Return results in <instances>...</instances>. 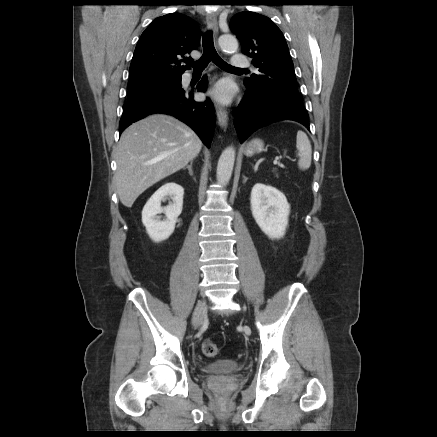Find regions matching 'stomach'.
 Here are the masks:
<instances>
[{
	"label": "stomach",
	"instance_id": "0dacf381",
	"mask_svg": "<svg viewBox=\"0 0 437 437\" xmlns=\"http://www.w3.org/2000/svg\"><path fill=\"white\" fill-rule=\"evenodd\" d=\"M264 149V142L261 139H253L251 140L245 147V155L246 156H253L254 154H258L263 152Z\"/></svg>",
	"mask_w": 437,
	"mask_h": 437
}]
</instances>
